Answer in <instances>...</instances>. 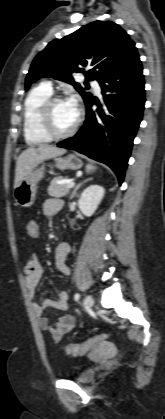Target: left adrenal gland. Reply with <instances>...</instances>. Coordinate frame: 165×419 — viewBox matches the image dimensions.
Instances as JSON below:
<instances>
[{
	"label": "left adrenal gland",
	"mask_w": 165,
	"mask_h": 419,
	"mask_svg": "<svg viewBox=\"0 0 165 419\" xmlns=\"http://www.w3.org/2000/svg\"><path fill=\"white\" fill-rule=\"evenodd\" d=\"M89 180H91V179H88V180H85V181H83V182H81V183H79L75 188H74V190H73V192H72V194H71V196H70V199H72L74 196H75V194H76V192H77V190L82 186V184H84V183H86V182H88Z\"/></svg>",
	"instance_id": "1"
}]
</instances>
